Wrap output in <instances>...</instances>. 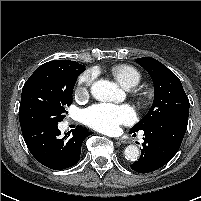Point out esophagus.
Here are the masks:
<instances>
[{
    "label": "esophagus",
    "mask_w": 201,
    "mask_h": 201,
    "mask_svg": "<svg viewBox=\"0 0 201 201\" xmlns=\"http://www.w3.org/2000/svg\"><path fill=\"white\" fill-rule=\"evenodd\" d=\"M115 140H116V142L117 143H122V144H125V143H127L125 140H123V139H120V138H115Z\"/></svg>",
    "instance_id": "esophagus-1"
}]
</instances>
